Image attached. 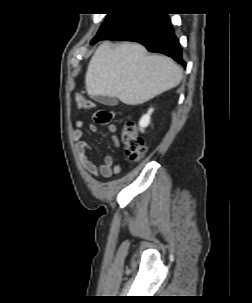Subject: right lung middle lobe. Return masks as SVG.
Here are the masks:
<instances>
[{
  "label": "right lung middle lobe",
  "instance_id": "obj_1",
  "mask_svg": "<svg viewBox=\"0 0 252 303\" xmlns=\"http://www.w3.org/2000/svg\"><path fill=\"white\" fill-rule=\"evenodd\" d=\"M122 14H109L107 20L100 27L97 35L93 40L100 38L103 36L108 30H110L117 20L121 17Z\"/></svg>",
  "mask_w": 252,
  "mask_h": 303
}]
</instances>
